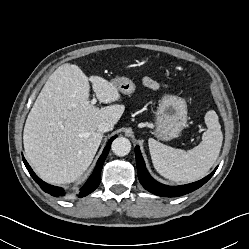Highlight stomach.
<instances>
[{
    "label": "stomach",
    "mask_w": 249,
    "mask_h": 249,
    "mask_svg": "<svg viewBox=\"0 0 249 249\" xmlns=\"http://www.w3.org/2000/svg\"><path fill=\"white\" fill-rule=\"evenodd\" d=\"M113 83L121 93L131 94L135 91V84L129 78L118 77ZM187 120L186 101L176 95L164 94L155 112V135L164 141L176 138Z\"/></svg>",
    "instance_id": "stomach-1"
}]
</instances>
